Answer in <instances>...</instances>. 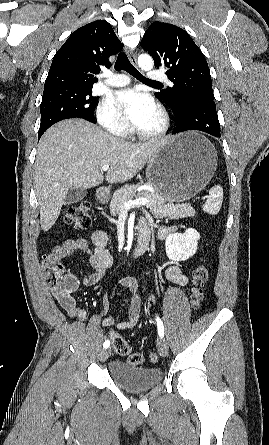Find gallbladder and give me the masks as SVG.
Instances as JSON below:
<instances>
[{
	"label": "gallbladder",
	"mask_w": 269,
	"mask_h": 445,
	"mask_svg": "<svg viewBox=\"0 0 269 445\" xmlns=\"http://www.w3.org/2000/svg\"><path fill=\"white\" fill-rule=\"evenodd\" d=\"M87 194V190L84 188L71 187L64 199L65 205H71L81 201Z\"/></svg>",
	"instance_id": "obj_1"
}]
</instances>
